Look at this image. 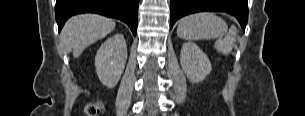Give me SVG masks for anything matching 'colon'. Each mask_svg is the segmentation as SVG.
Listing matches in <instances>:
<instances>
[{
  "instance_id": "5ec220e1",
  "label": "colon",
  "mask_w": 305,
  "mask_h": 116,
  "mask_svg": "<svg viewBox=\"0 0 305 116\" xmlns=\"http://www.w3.org/2000/svg\"><path fill=\"white\" fill-rule=\"evenodd\" d=\"M103 110V105L100 102H92L85 106V114L87 116H98Z\"/></svg>"
}]
</instances>
